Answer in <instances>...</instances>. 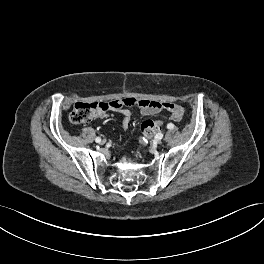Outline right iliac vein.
Listing matches in <instances>:
<instances>
[{"label": "right iliac vein", "mask_w": 264, "mask_h": 264, "mask_svg": "<svg viewBox=\"0 0 264 264\" xmlns=\"http://www.w3.org/2000/svg\"><path fill=\"white\" fill-rule=\"evenodd\" d=\"M107 143V140L106 139H102L100 144H106Z\"/></svg>", "instance_id": "1"}]
</instances>
